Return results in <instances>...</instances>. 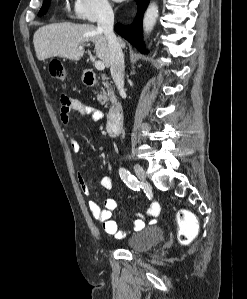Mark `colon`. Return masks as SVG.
I'll list each match as a JSON object with an SVG mask.
<instances>
[{"mask_svg": "<svg viewBox=\"0 0 247 299\" xmlns=\"http://www.w3.org/2000/svg\"><path fill=\"white\" fill-rule=\"evenodd\" d=\"M49 72L54 78L63 80L66 77V71L62 63L58 60L49 62ZM179 225L178 239L181 243H188L197 233L198 223L194 215L188 211L181 210L177 214Z\"/></svg>", "mask_w": 247, "mask_h": 299, "instance_id": "1", "label": "colon"}]
</instances>
